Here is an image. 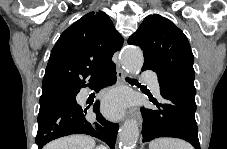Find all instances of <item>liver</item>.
Listing matches in <instances>:
<instances>
[{"mask_svg":"<svg viewBox=\"0 0 227 149\" xmlns=\"http://www.w3.org/2000/svg\"><path fill=\"white\" fill-rule=\"evenodd\" d=\"M95 141L86 135H70L48 143L44 149H94Z\"/></svg>","mask_w":227,"mask_h":149,"instance_id":"liver-1","label":"liver"}]
</instances>
